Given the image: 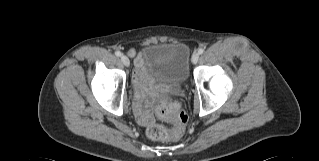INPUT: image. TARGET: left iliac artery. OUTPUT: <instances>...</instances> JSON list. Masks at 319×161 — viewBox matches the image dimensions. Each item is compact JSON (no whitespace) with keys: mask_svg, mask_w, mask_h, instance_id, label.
Wrapping results in <instances>:
<instances>
[{"mask_svg":"<svg viewBox=\"0 0 319 161\" xmlns=\"http://www.w3.org/2000/svg\"><path fill=\"white\" fill-rule=\"evenodd\" d=\"M203 52H204V49H202V48L198 50L199 54H202Z\"/></svg>","mask_w":319,"mask_h":161,"instance_id":"1","label":"left iliac artery"}]
</instances>
